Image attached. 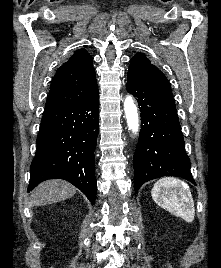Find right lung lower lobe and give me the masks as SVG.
Here are the masks:
<instances>
[{
    "mask_svg": "<svg viewBox=\"0 0 221 268\" xmlns=\"http://www.w3.org/2000/svg\"><path fill=\"white\" fill-rule=\"evenodd\" d=\"M99 132V94L45 109L30 166L28 192L44 180H67L94 204L97 194L94 150Z\"/></svg>",
    "mask_w": 221,
    "mask_h": 268,
    "instance_id": "obj_1",
    "label": "right lung lower lobe"
}]
</instances>
